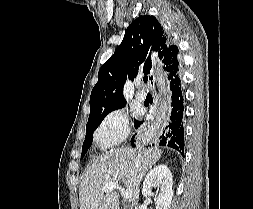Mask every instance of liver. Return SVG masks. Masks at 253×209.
<instances>
[{"mask_svg": "<svg viewBox=\"0 0 253 209\" xmlns=\"http://www.w3.org/2000/svg\"><path fill=\"white\" fill-rule=\"evenodd\" d=\"M162 150L121 147L111 149L94 160L79 187L80 209H119V193L103 192L106 183L122 182L132 191V208L139 200V185L145 174L160 159Z\"/></svg>", "mask_w": 253, "mask_h": 209, "instance_id": "6515ba94", "label": "liver"}]
</instances>
